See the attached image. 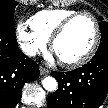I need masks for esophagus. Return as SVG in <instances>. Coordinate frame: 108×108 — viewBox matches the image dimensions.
<instances>
[{
	"instance_id": "obj_1",
	"label": "esophagus",
	"mask_w": 108,
	"mask_h": 108,
	"mask_svg": "<svg viewBox=\"0 0 108 108\" xmlns=\"http://www.w3.org/2000/svg\"><path fill=\"white\" fill-rule=\"evenodd\" d=\"M40 73L41 75H47L50 73V71L42 66H40Z\"/></svg>"
}]
</instances>
